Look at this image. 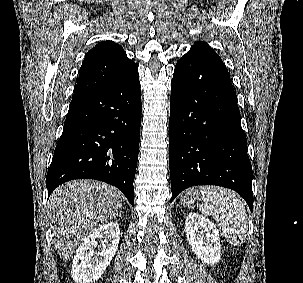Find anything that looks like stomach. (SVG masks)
Segmentation results:
<instances>
[{"label":"stomach","instance_id":"0dacf381","mask_svg":"<svg viewBox=\"0 0 303 283\" xmlns=\"http://www.w3.org/2000/svg\"><path fill=\"white\" fill-rule=\"evenodd\" d=\"M200 195L196 191H189L183 198L181 199V203L184 206H192L195 202L200 200Z\"/></svg>","mask_w":303,"mask_h":283}]
</instances>
